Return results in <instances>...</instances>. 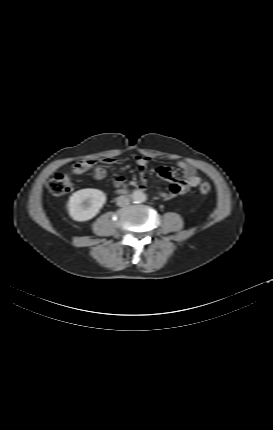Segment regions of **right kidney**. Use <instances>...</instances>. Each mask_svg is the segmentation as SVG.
<instances>
[{"label": "right kidney", "mask_w": 273, "mask_h": 430, "mask_svg": "<svg viewBox=\"0 0 273 430\" xmlns=\"http://www.w3.org/2000/svg\"><path fill=\"white\" fill-rule=\"evenodd\" d=\"M105 202V193L98 189L87 188L73 193L67 207L73 220L83 222L95 217Z\"/></svg>", "instance_id": "1"}]
</instances>
